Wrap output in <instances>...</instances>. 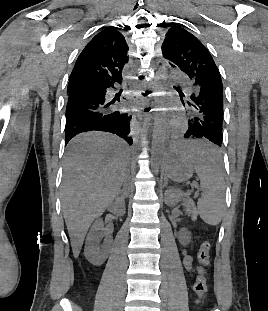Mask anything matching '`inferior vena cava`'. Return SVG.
Returning <instances> with one entry per match:
<instances>
[{"instance_id": "602c4592", "label": "inferior vena cava", "mask_w": 268, "mask_h": 311, "mask_svg": "<svg viewBox=\"0 0 268 311\" xmlns=\"http://www.w3.org/2000/svg\"><path fill=\"white\" fill-rule=\"evenodd\" d=\"M124 195H127L129 192V187H128V183H127V179L124 181L123 183V190H122Z\"/></svg>"}]
</instances>
